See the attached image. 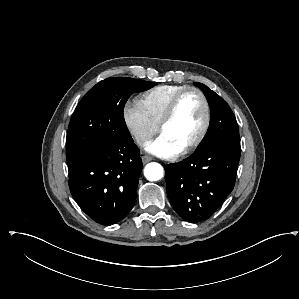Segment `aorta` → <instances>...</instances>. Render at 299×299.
I'll return each mask as SVG.
<instances>
[{
    "label": "aorta",
    "mask_w": 299,
    "mask_h": 299,
    "mask_svg": "<svg viewBox=\"0 0 299 299\" xmlns=\"http://www.w3.org/2000/svg\"><path fill=\"white\" fill-rule=\"evenodd\" d=\"M164 169L156 162L149 163L144 168V176L149 181H158L163 178Z\"/></svg>",
    "instance_id": "762f6f07"
}]
</instances>
